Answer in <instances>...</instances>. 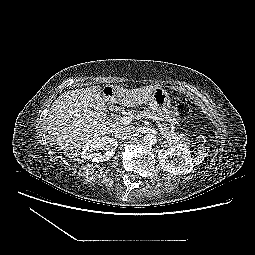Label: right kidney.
Here are the masks:
<instances>
[{"instance_id":"right-kidney-1","label":"right kidney","mask_w":255,"mask_h":255,"mask_svg":"<svg viewBox=\"0 0 255 255\" xmlns=\"http://www.w3.org/2000/svg\"><path fill=\"white\" fill-rule=\"evenodd\" d=\"M117 147L118 142L114 138L108 136L94 138L85 143L81 157L97 163L108 161L115 154ZM102 149L105 150L104 153L99 152Z\"/></svg>"}]
</instances>
